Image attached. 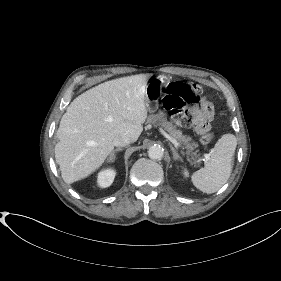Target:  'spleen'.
<instances>
[{"label":"spleen","instance_id":"obj_1","mask_svg":"<svg viewBox=\"0 0 281 281\" xmlns=\"http://www.w3.org/2000/svg\"><path fill=\"white\" fill-rule=\"evenodd\" d=\"M237 139L233 134H224L216 142L205 167L192 174L191 180L200 191L211 194L218 191L229 179L233 168V156Z\"/></svg>","mask_w":281,"mask_h":281}]
</instances>
